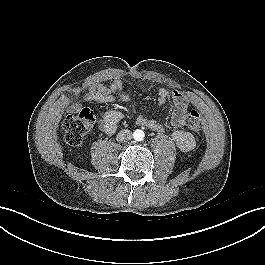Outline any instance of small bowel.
Instances as JSON below:
<instances>
[{
  "instance_id": "small-bowel-1",
  "label": "small bowel",
  "mask_w": 265,
  "mask_h": 265,
  "mask_svg": "<svg viewBox=\"0 0 265 265\" xmlns=\"http://www.w3.org/2000/svg\"><path fill=\"white\" fill-rule=\"evenodd\" d=\"M144 89L143 85L139 86ZM83 100L86 102H95L100 104L129 101V96L124 92V84L120 79H115L110 85H103L100 83L92 84L87 92L83 95ZM171 102L173 105L170 123L176 128L172 134V139L176 146L183 152H189L195 147V140L192 134L183 129L185 125L186 114L190 105V98L181 91H170L165 87L158 90V103L165 105ZM69 109L76 111L78 109L77 104H72ZM122 119V113L120 111H109L101 119L100 128L105 134H113L117 128L119 121ZM137 124L140 126L149 128L153 131H163V123L146 117L138 116L136 119Z\"/></svg>"
}]
</instances>
